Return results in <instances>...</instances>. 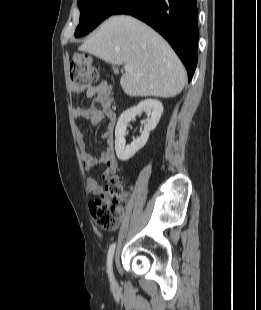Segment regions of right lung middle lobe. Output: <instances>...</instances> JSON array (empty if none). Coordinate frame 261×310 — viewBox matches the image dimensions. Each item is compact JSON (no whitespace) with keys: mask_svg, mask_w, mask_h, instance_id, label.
<instances>
[{"mask_svg":"<svg viewBox=\"0 0 261 310\" xmlns=\"http://www.w3.org/2000/svg\"><path fill=\"white\" fill-rule=\"evenodd\" d=\"M126 1L127 0H78L80 24L75 31V37L83 36L92 31Z\"/></svg>","mask_w":261,"mask_h":310,"instance_id":"1","label":"right lung middle lobe"}]
</instances>
